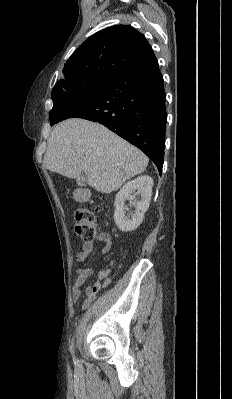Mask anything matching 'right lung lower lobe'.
<instances>
[{"label":"right lung lower lobe","instance_id":"obj_1","mask_svg":"<svg viewBox=\"0 0 232 399\" xmlns=\"http://www.w3.org/2000/svg\"><path fill=\"white\" fill-rule=\"evenodd\" d=\"M163 76L155 55L118 72L81 101L69 103L55 123L68 118L98 122L142 150L162 172L167 113Z\"/></svg>","mask_w":232,"mask_h":399}]
</instances>
